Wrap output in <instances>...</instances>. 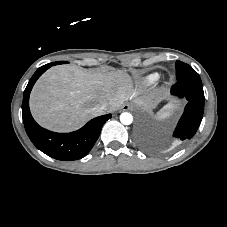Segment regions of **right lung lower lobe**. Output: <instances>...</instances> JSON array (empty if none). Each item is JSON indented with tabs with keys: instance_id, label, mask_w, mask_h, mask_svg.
Instances as JSON below:
<instances>
[{
	"instance_id": "right-lung-lower-lobe-1",
	"label": "right lung lower lobe",
	"mask_w": 227,
	"mask_h": 227,
	"mask_svg": "<svg viewBox=\"0 0 227 227\" xmlns=\"http://www.w3.org/2000/svg\"><path fill=\"white\" fill-rule=\"evenodd\" d=\"M53 63L40 67L29 80L24 91L22 118L25 130L32 143L46 155L58 160H77L86 156L97 141L102 126L111 118V114L96 117L81 129L71 133H55L40 127L29 110V95L37 79Z\"/></svg>"
}]
</instances>
